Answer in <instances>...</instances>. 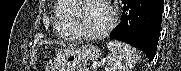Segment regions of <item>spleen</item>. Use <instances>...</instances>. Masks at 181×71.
<instances>
[{
    "label": "spleen",
    "instance_id": "1",
    "mask_svg": "<svg viewBox=\"0 0 181 71\" xmlns=\"http://www.w3.org/2000/svg\"><path fill=\"white\" fill-rule=\"evenodd\" d=\"M107 48L109 56L105 71H131L139 61L135 48L128 44L111 40Z\"/></svg>",
    "mask_w": 181,
    "mask_h": 71
}]
</instances>
